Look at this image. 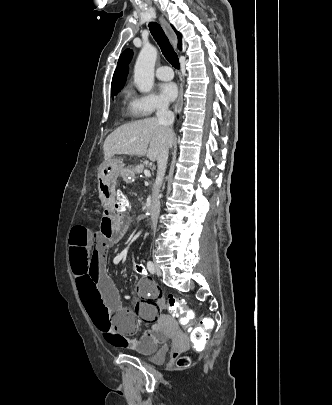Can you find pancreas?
<instances>
[{"label": "pancreas", "mask_w": 332, "mask_h": 405, "mask_svg": "<svg viewBox=\"0 0 332 405\" xmlns=\"http://www.w3.org/2000/svg\"><path fill=\"white\" fill-rule=\"evenodd\" d=\"M143 170H144V165H143V164H139V165H137L136 168H135V172H136L137 174H141V173L143 172Z\"/></svg>", "instance_id": "cf45deb5"}]
</instances>
